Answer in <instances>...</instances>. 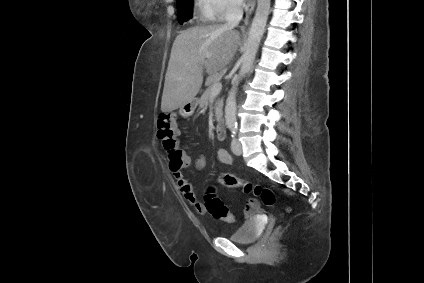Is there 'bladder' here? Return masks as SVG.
I'll return each instance as SVG.
<instances>
[{"label":"bladder","mask_w":424,"mask_h":283,"mask_svg":"<svg viewBox=\"0 0 424 283\" xmlns=\"http://www.w3.org/2000/svg\"><path fill=\"white\" fill-rule=\"evenodd\" d=\"M261 232V226L256 218L246 220L236 231L229 235V239L236 243L250 244Z\"/></svg>","instance_id":"obj_1"}]
</instances>
